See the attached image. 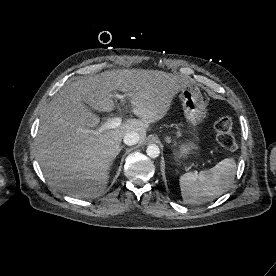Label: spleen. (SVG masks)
I'll return each mask as SVG.
<instances>
[{
	"label": "spleen",
	"instance_id": "spleen-1",
	"mask_svg": "<svg viewBox=\"0 0 276 276\" xmlns=\"http://www.w3.org/2000/svg\"><path fill=\"white\" fill-rule=\"evenodd\" d=\"M236 169L235 160L226 158L209 170L181 175L179 184L184 202L203 204L218 198L228 190Z\"/></svg>",
	"mask_w": 276,
	"mask_h": 276
}]
</instances>
